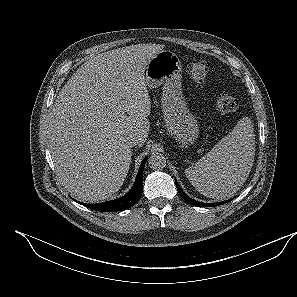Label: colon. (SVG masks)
Wrapping results in <instances>:
<instances>
[{"instance_id": "colon-1", "label": "colon", "mask_w": 297, "mask_h": 297, "mask_svg": "<svg viewBox=\"0 0 297 297\" xmlns=\"http://www.w3.org/2000/svg\"><path fill=\"white\" fill-rule=\"evenodd\" d=\"M210 64L207 61L193 62L189 68V75L196 86H200L208 76ZM237 100L228 93H220L215 99V109L221 114L232 113L237 109Z\"/></svg>"}]
</instances>
